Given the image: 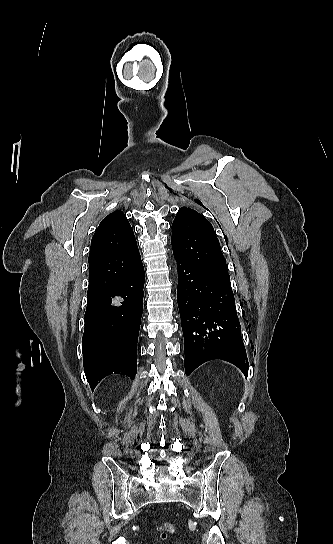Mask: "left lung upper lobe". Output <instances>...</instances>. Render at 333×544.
<instances>
[{
	"label": "left lung upper lobe",
	"mask_w": 333,
	"mask_h": 544,
	"mask_svg": "<svg viewBox=\"0 0 333 544\" xmlns=\"http://www.w3.org/2000/svg\"><path fill=\"white\" fill-rule=\"evenodd\" d=\"M171 243L176 256L209 272L232 291L219 240L211 223L201 214L187 207L180 208L172 224Z\"/></svg>",
	"instance_id": "left-lung-upper-lobe-1"
}]
</instances>
